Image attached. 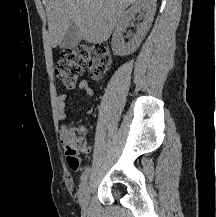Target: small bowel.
Here are the masks:
<instances>
[{
    "label": "small bowel",
    "instance_id": "1",
    "mask_svg": "<svg viewBox=\"0 0 216 217\" xmlns=\"http://www.w3.org/2000/svg\"><path fill=\"white\" fill-rule=\"evenodd\" d=\"M78 90H80L82 93H84L86 96H88L89 98H93L94 97V90L91 87L90 83L86 80L81 81L78 84ZM66 99H67V94L63 93L61 95H59L58 99H57V115L58 118L60 120H64L66 119ZM86 112L88 114L92 113V108L88 107ZM80 131L83 135H87L89 133L87 127L82 126L80 128ZM70 133V127L68 126V124H63L61 126V131H60V136H61V140L63 142V144L65 145V141L68 137ZM66 146V145H65Z\"/></svg>",
    "mask_w": 216,
    "mask_h": 217
}]
</instances>
